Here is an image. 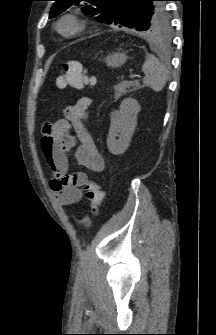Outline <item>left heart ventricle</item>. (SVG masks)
Here are the masks:
<instances>
[{
    "label": "left heart ventricle",
    "instance_id": "left-heart-ventricle-1",
    "mask_svg": "<svg viewBox=\"0 0 216 335\" xmlns=\"http://www.w3.org/2000/svg\"><path fill=\"white\" fill-rule=\"evenodd\" d=\"M70 28V25L69 24H64L62 25V29L63 30H68Z\"/></svg>",
    "mask_w": 216,
    "mask_h": 335
}]
</instances>
